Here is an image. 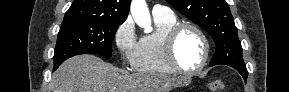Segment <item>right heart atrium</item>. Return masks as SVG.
Returning <instances> with one entry per match:
<instances>
[{
    "label": "right heart atrium",
    "instance_id": "right-heart-atrium-1",
    "mask_svg": "<svg viewBox=\"0 0 289 92\" xmlns=\"http://www.w3.org/2000/svg\"><path fill=\"white\" fill-rule=\"evenodd\" d=\"M114 42L123 63L133 67L138 40L132 19L127 18L118 26L114 34Z\"/></svg>",
    "mask_w": 289,
    "mask_h": 92
}]
</instances>
